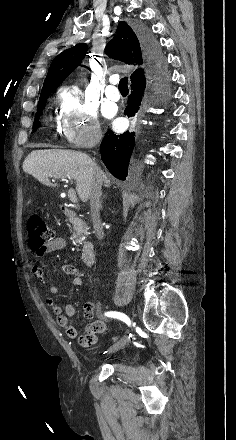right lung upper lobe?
I'll use <instances>...</instances> for the list:
<instances>
[{"label":"right lung upper lobe","instance_id":"1","mask_svg":"<svg viewBox=\"0 0 236 440\" xmlns=\"http://www.w3.org/2000/svg\"><path fill=\"white\" fill-rule=\"evenodd\" d=\"M106 52L113 59L140 67L131 75V87L146 80L147 63L139 33L135 32L125 21H121L118 24L116 35L107 44ZM86 53V44H78L61 52L51 63L40 98L54 91L81 63Z\"/></svg>","mask_w":236,"mask_h":440}]
</instances>
